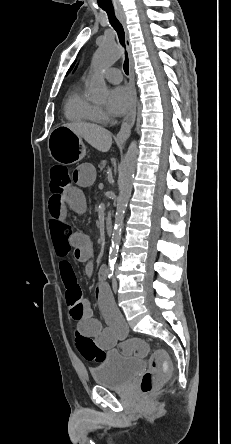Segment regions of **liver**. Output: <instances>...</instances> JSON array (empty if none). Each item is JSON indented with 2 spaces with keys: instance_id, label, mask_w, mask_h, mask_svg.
Instances as JSON below:
<instances>
[{
  "instance_id": "obj_1",
  "label": "liver",
  "mask_w": 231,
  "mask_h": 444,
  "mask_svg": "<svg viewBox=\"0 0 231 444\" xmlns=\"http://www.w3.org/2000/svg\"><path fill=\"white\" fill-rule=\"evenodd\" d=\"M64 127L69 128L79 137L101 152H108L112 145V134L105 128L91 123H69Z\"/></svg>"
}]
</instances>
